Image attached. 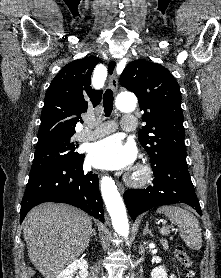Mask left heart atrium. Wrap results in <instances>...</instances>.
I'll return each instance as SVG.
<instances>
[{
    "instance_id": "left-heart-atrium-1",
    "label": "left heart atrium",
    "mask_w": 221,
    "mask_h": 278,
    "mask_svg": "<svg viewBox=\"0 0 221 278\" xmlns=\"http://www.w3.org/2000/svg\"><path fill=\"white\" fill-rule=\"evenodd\" d=\"M135 148L125 145L118 136L95 142L89 149L88 160L98 168L123 169L134 160Z\"/></svg>"
}]
</instances>
